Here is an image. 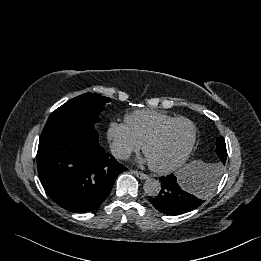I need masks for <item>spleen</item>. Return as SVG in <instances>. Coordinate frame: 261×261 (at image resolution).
Returning a JSON list of instances; mask_svg holds the SVG:
<instances>
[{"label": "spleen", "instance_id": "3e777b00", "mask_svg": "<svg viewBox=\"0 0 261 261\" xmlns=\"http://www.w3.org/2000/svg\"><path fill=\"white\" fill-rule=\"evenodd\" d=\"M206 167H208V165L203 162H193L188 164L181 173L184 174L181 178L182 185H184L185 188H189V182L194 178L195 174Z\"/></svg>", "mask_w": 261, "mask_h": 261}]
</instances>
